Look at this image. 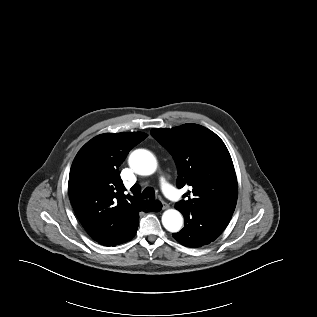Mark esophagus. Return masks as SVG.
Returning a JSON list of instances; mask_svg holds the SVG:
<instances>
[{"label":"esophagus","instance_id":"34e87169","mask_svg":"<svg viewBox=\"0 0 317 317\" xmlns=\"http://www.w3.org/2000/svg\"><path fill=\"white\" fill-rule=\"evenodd\" d=\"M162 205H163V209H168L169 208V205L166 202H164V201H162Z\"/></svg>","mask_w":317,"mask_h":317}]
</instances>
